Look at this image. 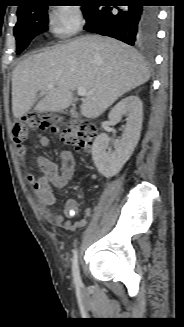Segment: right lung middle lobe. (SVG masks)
Segmentation results:
<instances>
[{"mask_svg":"<svg viewBox=\"0 0 184 327\" xmlns=\"http://www.w3.org/2000/svg\"><path fill=\"white\" fill-rule=\"evenodd\" d=\"M42 3L41 1L17 12L18 22L14 28V35L17 40V54H20L36 35L48 29V6ZM93 7V5L82 6L85 17Z\"/></svg>","mask_w":184,"mask_h":327,"instance_id":"obj_1","label":"right lung middle lobe"}]
</instances>
